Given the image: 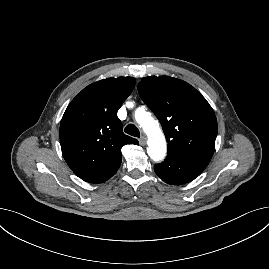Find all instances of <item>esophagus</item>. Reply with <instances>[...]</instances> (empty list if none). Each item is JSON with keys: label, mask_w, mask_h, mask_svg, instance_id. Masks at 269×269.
Listing matches in <instances>:
<instances>
[{"label": "esophagus", "mask_w": 269, "mask_h": 269, "mask_svg": "<svg viewBox=\"0 0 269 269\" xmlns=\"http://www.w3.org/2000/svg\"><path fill=\"white\" fill-rule=\"evenodd\" d=\"M139 143H140V145L144 146L146 144V137L141 136L140 139H139Z\"/></svg>", "instance_id": "esophagus-1"}]
</instances>
